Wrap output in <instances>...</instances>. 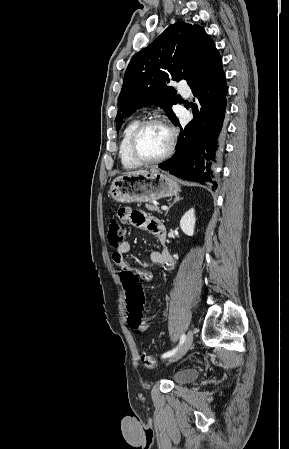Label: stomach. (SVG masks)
Masks as SVG:
<instances>
[{
  "label": "stomach",
  "mask_w": 289,
  "mask_h": 449,
  "mask_svg": "<svg viewBox=\"0 0 289 449\" xmlns=\"http://www.w3.org/2000/svg\"><path fill=\"white\" fill-rule=\"evenodd\" d=\"M179 191V185L171 176L152 170L116 177L111 183L109 194L117 202L141 203L176 196Z\"/></svg>",
  "instance_id": "1"
}]
</instances>
